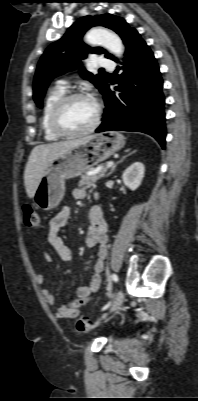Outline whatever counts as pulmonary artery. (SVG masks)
I'll return each instance as SVG.
<instances>
[{
    "instance_id": "obj_1",
    "label": "pulmonary artery",
    "mask_w": 198,
    "mask_h": 401,
    "mask_svg": "<svg viewBox=\"0 0 198 401\" xmlns=\"http://www.w3.org/2000/svg\"><path fill=\"white\" fill-rule=\"evenodd\" d=\"M96 65L98 67L113 68L115 66V63L108 58L99 57L96 61ZM59 83L61 84V87H63V88L66 87V84H67L66 81L62 80Z\"/></svg>"
}]
</instances>
